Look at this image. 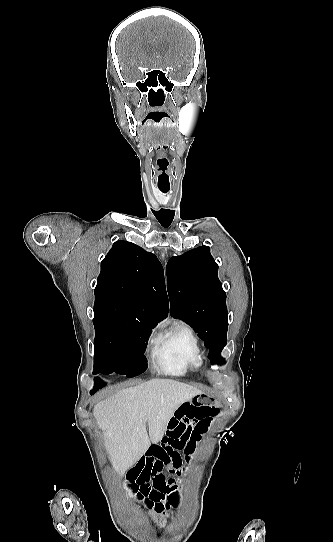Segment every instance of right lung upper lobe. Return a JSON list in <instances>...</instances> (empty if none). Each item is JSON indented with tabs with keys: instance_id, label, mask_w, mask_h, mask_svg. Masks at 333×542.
I'll list each match as a JSON object with an SVG mask.
<instances>
[{
	"instance_id": "obj_1",
	"label": "right lung upper lobe",
	"mask_w": 333,
	"mask_h": 542,
	"mask_svg": "<svg viewBox=\"0 0 333 542\" xmlns=\"http://www.w3.org/2000/svg\"><path fill=\"white\" fill-rule=\"evenodd\" d=\"M94 310L146 318L156 326L168 315L164 271L157 257L136 244L117 241L101 261Z\"/></svg>"
}]
</instances>
